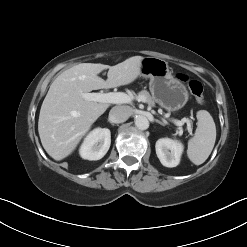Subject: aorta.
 I'll use <instances>...</instances> for the list:
<instances>
[{
	"label": "aorta",
	"mask_w": 247,
	"mask_h": 247,
	"mask_svg": "<svg viewBox=\"0 0 247 247\" xmlns=\"http://www.w3.org/2000/svg\"><path fill=\"white\" fill-rule=\"evenodd\" d=\"M135 125L140 130H146L149 127V121L145 116L139 115L135 119Z\"/></svg>",
	"instance_id": "1"
}]
</instances>
